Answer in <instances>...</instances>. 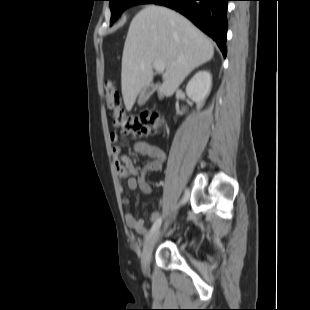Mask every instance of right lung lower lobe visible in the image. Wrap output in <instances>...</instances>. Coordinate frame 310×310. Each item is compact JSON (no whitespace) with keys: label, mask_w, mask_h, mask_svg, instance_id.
Listing matches in <instances>:
<instances>
[{"label":"right lung lower lobe","mask_w":310,"mask_h":310,"mask_svg":"<svg viewBox=\"0 0 310 310\" xmlns=\"http://www.w3.org/2000/svg\"><path fill=\"white\" fill-rule=\"evenodd\" d=\"M230 0H153L151 3L172 8L209 35L226 56L227 8Z\"/></svg>","instance_id":"right-lung-lower-lobe-1"}]
</instances>
